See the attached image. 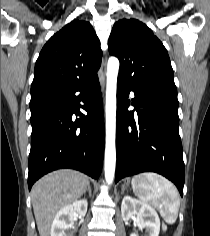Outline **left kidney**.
<instances>
[{
	"label": "left kidney",
	"mask_w": 210,
	"mask_h": 236,
	"mask_svg": "<svg viewBox=\"0 0 210 236\" xmlns=\"http://www.w3.org/2000/svg\"><path fill=\"white\" fill-rule=\"evenodd\" d=\"M121 214L124 221H128L136 215L137 225L140 229L145 228L149 236H159V216L157 212L146 203L130 196H125L121 204ZM130 236H138V234L132 233Z\"/></svg>",
	"instance_id": "1"
}]
</instances>
